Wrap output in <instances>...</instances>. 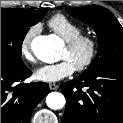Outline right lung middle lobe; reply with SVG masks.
Returning a JSON list of instances; mask_svg holds the SVG:
<instances>
[{"instance_id":"dd1d6c3e","label":"right lung middle lobe","mask_w":123,"mask_h":123,"mask_svg":"<svg viewBox=\"0 0 123 123\" xmlns=\"http://www.w3.org/2000/svg\"><path fill=\"white\" fill-rule=\"evenodd\" d=\"M48 10L1 8V66H24L21 59L22 42L30 27L41 21Z\"/></svg>"}]
</instances>
